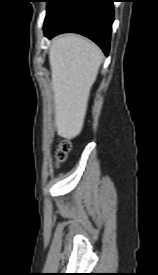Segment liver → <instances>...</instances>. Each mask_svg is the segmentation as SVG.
Here are the masks:
<instances>
[{
  "instance_id": "liver-1",
  "label": "liver",
  "mask_w": 158,
  "mask_h": 275,
  "mask_svg": "<svg viewBox=\"0 0 158 275\" xmlns=\"http://www.w3.org/2000/svg\"><path fill=\"white\" fill-rule=\"evenodd\" d=\"M103 61L100 48L74 34L53 39L49 50L57 133L71 139L83 128L92 85Z\"/></svg>"
}]
</instances>
